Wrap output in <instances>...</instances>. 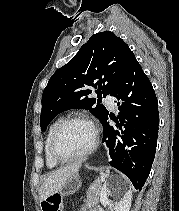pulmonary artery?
<instances>
[{
    "label": "pulmonary artery",
    "instance_id": "e3ab8cb5",
    "mask_svg": "<svg viewBox=\"0 0 179 211\" xmlns=\"http://www.w3.org/2000/svg\"><path fill=\"white\" fill-rule=\"evenodd\" d=\"M105 103L108 105L110 109H115L114 98L111 95H106Z\"/></svg>",
    "mask_w": 179,
    "mask_h": 211
}]
</instances>
